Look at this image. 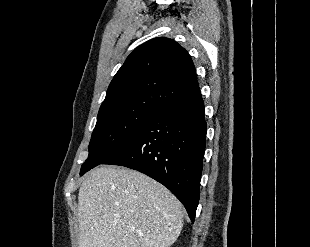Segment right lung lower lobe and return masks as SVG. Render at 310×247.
Returning a JSON list of instances; mask_svg holds the SVG:
<instances>
[{"instance_id":"obj_1","label":"right lung lower lobe","mask_w":310,"mask_h":247,"mask_svg":"<svg viewBox=\"0 0 310 247\" xmlns=\"http://www.w3.org/2000/svg\"><path fill=\"white\" fill-rule=\"evenodd\" d=\"M206 132L198 90L158 111L102 164L125 166L160 182L182 202L194 222Z\"/></svg>"}]
</instances>
